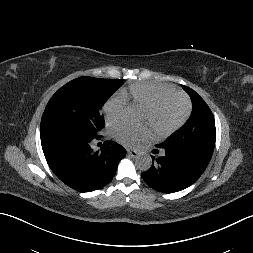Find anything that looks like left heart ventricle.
Instances as JSON below:
<instances>
[{
	"mask_svg": "<svg viewBox=\"0 0 253 253\" xmlns=\"http://www.w3.org/2000/svg\"><path fill=\"white\" fill-rule=\"evenodd\" d=\"M182 113V103L176 98H167L158 108L154 121L161 128H165L175 123ZM144 119L148 121V114L146 112L144 113Z\"/></svg>",
	"mask_w": 253,
	"mask_h": 253,
	"instance_id": "obj_1",
	"label": "left heart ventricle"
}]
</instances>
